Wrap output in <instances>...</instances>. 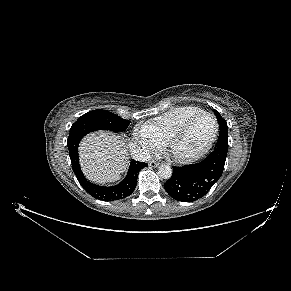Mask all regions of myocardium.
Segmentation results:
<instances>
[{
    "mask_svg": "<svg viewBox=\"0 0 291 291\" xmlns=\"http://www.w3.org/2000/svg\"><path fill=\"white\" fill-rule=\"evenodd\" d=\"M209 116L214 120L215 128L212 137L208 141V143L199 151L190 154V155H183L177 151V145L185 136L191 125L196 122L199 118ZM219 132V123L216 116L209 112H202L190 118L186 121L167 141L165 147L169 153V155L179 163H191L203 157L213 146L215 143Z\"/></svg>",
    "mask_w": 291,
    "mask_h": 291,
    "instance_id": "1",
    "label": "myocardium"
}]
</instances>
